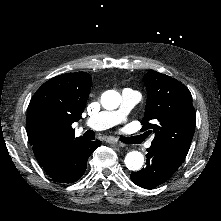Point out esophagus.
Masks as SVG:
<instances>
[{
	"label": "esophagus",
	"instance_id": "1",
	"mask_svg": "<svg viewBox=\"0 0 221 221\" xmlns=\"http://www.w3.org/2000/svg\"><path fill=\"white\" fill-rule=\"evenodd\" d=\"M106 142L109 143V144L118 146V147H123L124 146L123 143H121V142H119L118 140H115V139H107Z\"/></svg>",
	"mask_w": 221,
	"mask_h": 221
}]
</instances>
